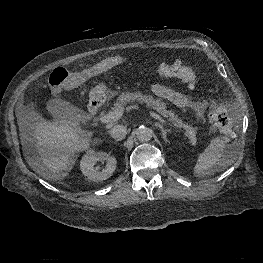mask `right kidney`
<instances>
[{"label":"right kidney","mask_w":263,"mask_h":263,"mask_svg":"<svg viewBox=\"0 0 263 263\" xmlns=\"http://www.w3.org/2000/svg\"><path fill=\"white\" fill-rule=\"evenodd\" d=\"M106 162V167L102 171H98L95 164L97 162ZM117 160L114 156H110L105 152L96 153L89 150L80 161V169L82 173L91 181H102L112 176L116 169Z\"/></svg>","instance_id":"right-kidney-1"}]
</instances>
